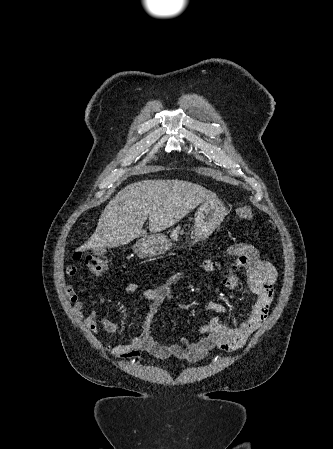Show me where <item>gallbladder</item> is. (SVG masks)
<instances>
[{
    "label": "gallbladder",
    "mask_w": 333,
    "mask_h": 449,
    "mask_svg": "<svg viewBox=\"0 0 333 449\" xmlns=\"http://www.w3.org/2000/svg\"><path fill=\"white\" fill-rule=\"evenodd\" d=\"M105 252H106V250H105L104 248H97V249H94V250H93V253H94L96 256H101V255H103Z\"/></svg>",
    "instance_id": "bac80fb5"
}]
</instances>
